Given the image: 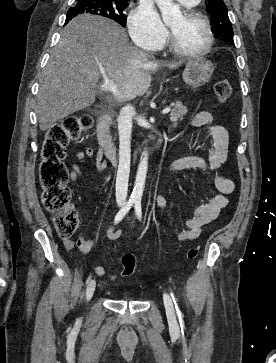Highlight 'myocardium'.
I'll return each mask as SVG.
<instances>
[{
    "instance_id": "myocardium-1",
    "label": "myocardium",
    "mask_w": 276,
    "mask_h": 363,
    "mask_svg": "<svg viewBox=\"0 0 276 363\" xmlns=\"http://www.w3.org/2000/svg\"><path fill=\"white\" fill-rule=\"evenodd\" d=\"M184 16L188 19L199 20L204 24L206 32H207V37H208L207 43L204 46V48L199 51H189V50L182 48L178 44V42L176 41V39L171 31V33H170L171 49L175 53H177L183 57L195 58V59L202 58L211 51L213 44H214V34H213L211 23L204 14H202L201 12L194 10V9L185 11Z\"/></svg>"
}]
</instances>
